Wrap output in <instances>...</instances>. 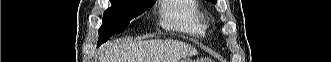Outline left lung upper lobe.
<instances>
[{
    "label": "left lung upper lobe",
    "mask_w": 331,
    "mask_h": 62,
    "mask_svg": "<svg viewBox=\"0 0 331 62\" xmlns=\"http://www.w3.org/2000/svg\"><path fill=\"white\" fill-rule=\"evenodd\" d=\"M210 1H212V2L216 3V1H217V0H210Z\"/></svg>",
    "instance_id": "left-lung-upper-lobe-1"
}]
</instances>
